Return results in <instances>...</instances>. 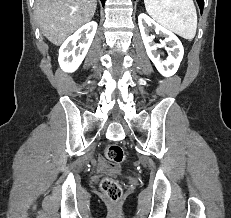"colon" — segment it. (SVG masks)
I'll use <instances>...</instances> for the list:
<instances>
[{
	"instance_id": "obj_1",
	"label": "colon",
	"mask_w": 231,
	"mask_h": 218,
	"mask_svg": "<svg viewBox=\"0 0 231 218\" xmlns=\"http://www.w3.org/2000/svg\"><path fill=\"white\" fill-rule=\"evenodd\" d=\"M106 157L115 164H121L125 161L123 149L116 144L108 145L105 148ZM101 190L104 195L113 203L120 201L123 195V190L120 183L110 177H106L101 181Z\"/></svg>"
}]
</instances>
